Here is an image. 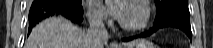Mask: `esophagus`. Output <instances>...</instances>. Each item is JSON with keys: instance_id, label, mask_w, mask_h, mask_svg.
<instances>
[{"instance_id": "esophagus-1", "label": "esophagus", "mask_w": 213, "mask_h": 48, "mask_svg": "<svg viewBox=\"0 0 213 48\" xmlns=\"http://www.w3.org/2000/svg\"><path fill=\"white\" fill-rule=\"evenodd\" d=\"M111 47L112 48H117V44L116 43H111Z\"/></svg>"}]
</instances>
